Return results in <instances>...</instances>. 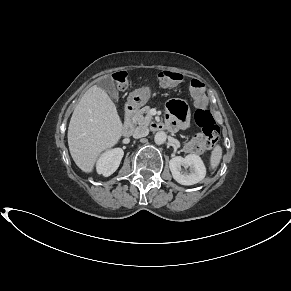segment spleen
Instances as JSON below:
<instances>
[{
	"instance_id": "spleen-1",
	"label": "spleen",
	"mask_w": 291,
	"mask_h": 291,
	"mask_svg": "<svg viewBox=\"0 0 291 291\" xmlns=\"http://www.w3.org/2000/svg\"><path fill=\"white\" fill-rule=\"evenodd\" d=\"M222 158V148L220 145H216L211 151L210 155V168L212 170L216 169Z\"/></svg>"
}]
</instances>
